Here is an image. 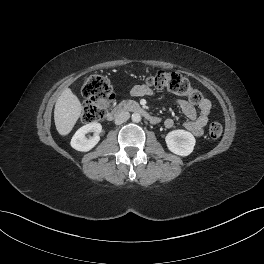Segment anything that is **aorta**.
Listing matches in <instances>:
<instances>
[{
  "instance_id": "762f6f07",
  "label": "aorta",
  "mask_w": 264,
  "mask_h": 264,
  "mask_svg": "<svg viewBox=\"0 0 264 264\" xmlns=\"http://www.w3.org/2000/svg\"><path fill=\"white\" fill-rule=\"evenodd\" d=\"M131 118L135 123H139L141 121V115L139 113H133Z\"/></svg>"
}]
</instances>
